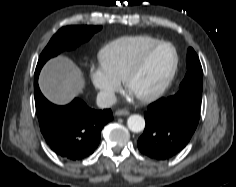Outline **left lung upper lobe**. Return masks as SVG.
<instances>
[{
    "instance_id": "left-lung-upper-lobe-1",
    "label": "left lung upper lobe",
    "mask_w": 236,
    "mask_h": 187,
    "mask_svg": "<svg viewBox=\"0 0 236 187\" xmlns=\"http://www.w3.org/2000/svg\"><path fill=\"white\" fill-rule=\"evenodd\" d=\"M186 63L187 73L179 86V91L168 98L170 101L184 98L201 105L203 70L199 58L193 48H189L187 51Z\"/></svg>"
}]
</instances>
